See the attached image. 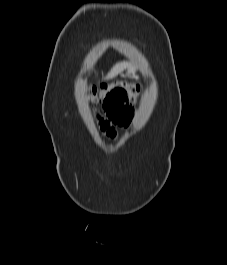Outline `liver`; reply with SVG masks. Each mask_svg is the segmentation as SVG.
<instances>
[{
	"instance_id": "obj_1",
	"label": "liver",
	"mask_w": 227,
	"mask_h": 265,
	"mask_svg": "<svg viewBox=\"0 0 227 265\" xmlns=\"http://www.w3.org/2000/svg\"><path fill=\"white\" fill-rule=\"evenodd\" d=\"M129 67V63L127 62H120L117 63L113 68L110 70V72L107 74L106 79H111L118 74H120L122 71L127 69Z\"/></svg>"
}]
</instances>
